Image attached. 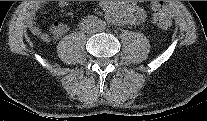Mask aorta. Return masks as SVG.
I'll list each match as a JSON object with an SVG mask.
<instances>
[{"label":"aorta","instance_id":"1","mask_svg":"<svg viewBox=\"0 0 207 121\" xmlns=\"http://www.w3.org/2000/svg\"><path fill=\"white\" fill-rule=\"evenodd\" d=\"M126 3V2H125ZM124 2H112L110 7V16L113 22L118 24H126L131 18V12Z\"/></svg>","mask_w":207,"mask_h":121}]
</instances>
